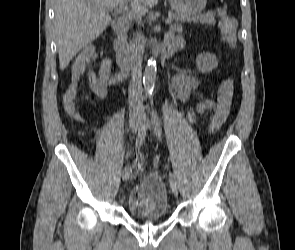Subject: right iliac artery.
Returning a JSON list of instances; mask_svg holds the SVG:
<instances>
[{"label":"right iliac artery","instance_id":"1","mask_svg":"<svg viewBox=\"0 0 295 250\" xmlns=\"http://www.w3.org/2000/svg\"><path fill=\"white\" fill-rule=\"evenodd\" d=\"M136 136H137V139H136V143H135V148H142V143L141 142L144 139L145 133L142 132V131H136ZM124 171L126 173H131L132 172L131 166H126Z\"/></svg>","mask_w":295,"mask_h":250}]
</instances>
